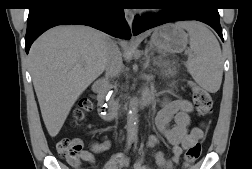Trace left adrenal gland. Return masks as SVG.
Returning <instances> with one entry per match:
<instances>
[{
  "instance_id": "a2214340",
  "label": "left adrenal gland",
  "mask_w": 252,
  "mask_h": 169,
  "mask_svg": "<svg viewBox=\"0 0 252 169\" xmlns=\"http://www.w3.org/2000/svg\"><path fill=\"white\" fill-rule=\"evenodd\" d=\"M152 50H153V45L150 43L149 47L146 48V50H145V56H146L147 63L150 62V57H152L154 55V52ZM160 60H161V56H159L158 58H153V63L158 64V61H160Z\"/></svg>"
}]
</instances>
